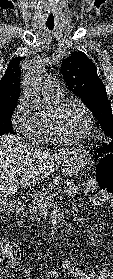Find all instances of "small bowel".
Masks as SVG:
<instances>
[{
  "mask_svg": "<svg viewBox=\"0 0 113 279\" xmlns=\"http://www.w3.org/2000/svg\"><path fill=\"white\" fill-rule=\"evenodd\" d=\"M94 189H95V183L93 180H89L84 184L85 192L89 193L94 191ZM105 201H110L111 203H113V196H109L107 194H99L93 197L92 199V202L95 205H101ZM71 274L74 279H113V273L104 268L98 269L96 272H92V273H85L80 269L73 268L71 270Z\"/></svg>",
  "mask_w": 113,
  "mask_h": 279,
  "instance_id": "small-bowel-1",
  "label": "small bowel"
}]
</instances>
